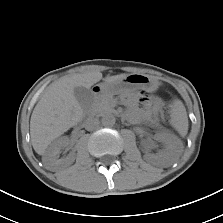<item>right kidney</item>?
Masks as SVG:
<instances>
[{"label": "right kidney", "mask_w": 223, "mask_h": 223, "mask_svg": "<svg viewBox=\"0 0 223 223\" xmlns=\"http://www.w3.org/2000/svg\"><path fill=\"white\" fill-rule=\"evenodd\" d=\"M69 140L67 137H61L54 141L45 152L42 161L44 165L52 169L59 165H71L74 162V156L68 155L66 158L58 159L61 151L68 145Z\"/></svg>", "instance_id": "right-kidney-1"}]
</instances>
